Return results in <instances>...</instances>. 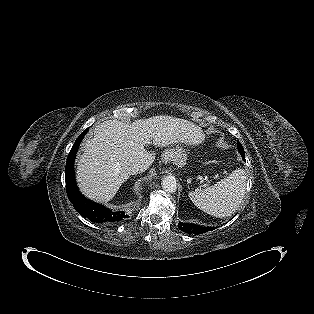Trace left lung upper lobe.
I'll list each match as a JSON object with an SVG mask.
<instances>
[{"label":"left lung upper lobe","mask_w":314,"mask_h":314,"mask_svg":"<svg viewBox=\"0 0 314 314\" xmlns=\"http://www.w3.org/2000/svg\"><path fill=\"white\" fill-rule=\"evenodd\" d=\"M237 148H238L240 153L244 152V149H243V147H242V145H241V143L239 141L237 142Z\"/></svg>","instance_id":"5c2ea615"}]
</instances>
